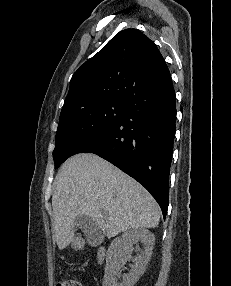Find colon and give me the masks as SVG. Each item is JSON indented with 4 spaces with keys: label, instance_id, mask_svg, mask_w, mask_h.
<instances>
[{
    "label": "colon",
    "instance_id": "colon-1",
    "mask_svg": "<svg viewBox=\"0 0 231 286\" xmlns=\"http://www.w3.org/2000/svg\"><path fill=\"white\" fill-rule=\"evenodd\" d=\"M57 286H82L81 283L74 279H67L59 282Z\"/></svg>",
    "mask_w": 231,
    "mask_h": 286
}]
</instances>
